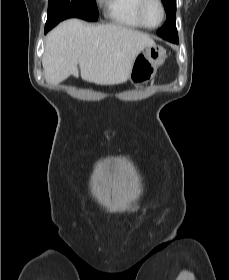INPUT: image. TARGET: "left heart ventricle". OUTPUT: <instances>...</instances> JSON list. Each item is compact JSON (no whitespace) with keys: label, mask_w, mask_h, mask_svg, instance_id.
Masks as SVG:
<instances>
[{"label":"left heart ventricle","mask_w":229,"mask_h":280,"mask_svg":"<svg viewBox=\"0 0 229 280\" xmlns=\"http://www.w3.org/2000/svg\"><path fill=\"white\" fill-rule=\"evenodd\" d=\"M161 18V10L158 4L151 2L145 10V19L149 25H157Z\"/></svg>","instance_id":"b2bd125f"}]
</instances>
